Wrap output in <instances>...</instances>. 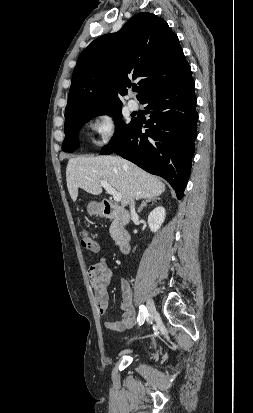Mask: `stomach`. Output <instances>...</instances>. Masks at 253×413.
<instances>
[{
    "label": "stomach",
    "mask_w": 253,
    "mask_h": 413,
    "mask_svg": "<svg viewBox=\"0 0 253 413\" xmlns=\"http://www.w3.org/2000/svg\"><path fill=\"white\" fill-rule=\"evenodd\" d=\"M87 211L90 215H101L103 212L101 205L97 202H90Z\"/></svg>",
    "instance_id": "0dacf381"
}]
</instances>
